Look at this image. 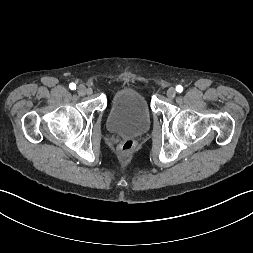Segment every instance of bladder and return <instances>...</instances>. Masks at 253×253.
I'll use <instances>...</instances> for the list:
<instances>
[{
    "mask_svg": "<svg viewBox=\"0 0 253 253\" xmlns=\"http://www.w3.org/2000/svg\"><path fill=\"white\" fill-rule=\"evenodd\" d=\"M151 124L150 109L145 97L134 89L118 91L112 98L106 118L107 129L119 136L138 137Z\"/></svg>",
    "mask_w": 253,
    "mask_h": 253,
    "instance_id": "obj_1",
    "label": "bladder"
}]
</instances>
